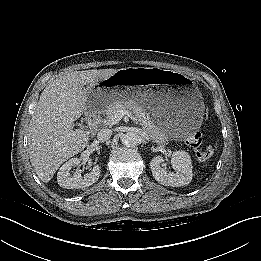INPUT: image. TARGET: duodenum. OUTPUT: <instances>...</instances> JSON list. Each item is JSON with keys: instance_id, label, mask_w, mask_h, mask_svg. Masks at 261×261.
<instances>
[{"instance_id": "1", "label": "duodenum", "mask_w": 261, "mask_h": 261, "mask_svg": "<svg viewBox=\"0 0 261 261\" xmlns=\"http://www.w3.org/2000/svg\"><path fill=\"white\" fill-rule=\"evenodd\" d=\"M88 123L93 126L96 127L99 123V116L96 113H91L88 116Z\"/></svg>"}]
</instances>
